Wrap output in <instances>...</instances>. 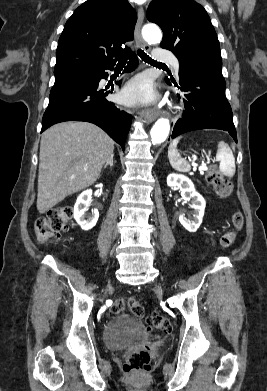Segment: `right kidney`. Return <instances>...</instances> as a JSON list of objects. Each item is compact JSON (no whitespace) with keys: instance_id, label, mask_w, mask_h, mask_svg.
<instances>
[{"instance_id":"1","label":"right kidney","mask_w":267,"mask_h":391,"mask_svg":"<svg viewBox=\"0 0 267 391\" xmlns=\"http://www.w3.org/2000/svg\"><path fill=\"white\" fill-rule=\"evenodd\" d=\"M92 190L88 189L83 191L77 198L74 205V218L81 228L85 231L92 229L99 218V212L97 209H92L91 214H87L88 207L91 204Z\"/></svg>"}]
</instances>
